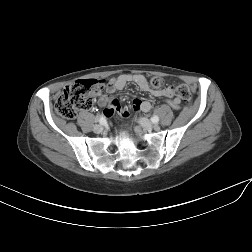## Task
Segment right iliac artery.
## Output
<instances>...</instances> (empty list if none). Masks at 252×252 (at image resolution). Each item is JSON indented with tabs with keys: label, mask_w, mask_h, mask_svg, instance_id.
<instances>
[{
	"label": "right iliac artery",
	"mask_w": 252,
	"mask_h": 252,
	"mask_svg": "<svg viewBox=\"0 0 252 252\" xmlns=\"http://www.w3.org/2000/svg\"><path fill=\"white\" fill-rule=\"evenodd\" d=\"M100 122H101V125H102V126H105V125H106V121H105V119L103 118V116H102Z\"/></svg>",
	"instance_id": "right-iliac-artery-1"
}]
</instances>
